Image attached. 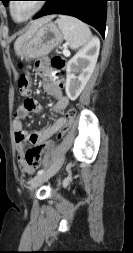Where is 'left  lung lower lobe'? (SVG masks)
Instances as JSON below:
<instances>
[{"label":"left lung lower lobe","mask_w":133,"mask_h":253,"mask_svg":"<svg viewBox=\"0 0 133 253\" xmlns=\"http://www.w3.org/2000/svg\"><path fill=\"white\" fill-rule=\"evenodd\" d=\"M44 7L34 16V19L49 14H66L74 16L90 24L104 37L109 0H43Z\"/></svg>","instance_id":"left-lung-lower-lobe-1"}]
</instances>
